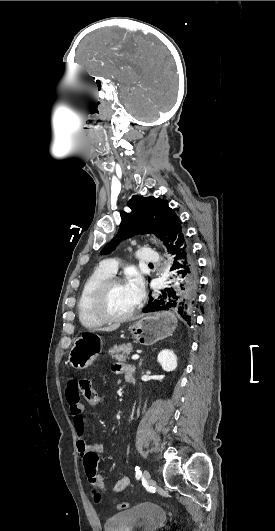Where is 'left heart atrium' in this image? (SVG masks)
<instances>
[{"instance_id":"1","label":"left heart atrium","mask_w":275,"mask_h":531,"mask_svg":"<svg viewBox=\"0 0 275 531\" xmlns=\"http://www.w3.org/2000/svg\"><path fill=\"white\" fill-rule=\"evenodd\" d=\"M125 284L133 302L137 304L140 301L143 293V278L141 274L134 269L129 271L125 280Z\"/></svg>"}]
</instances>
